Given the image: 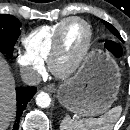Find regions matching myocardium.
<instances>
[{
  "label": "myocardium",
  "instance_id": "myocardium-1",
  "mask_svg": "<svg viewBox=\"0 0 130 130\" xmlns=\"http://www.w3.org/2000/svg\"><path fill=\"white\" fill-rule=\"evenodd\" d=\"M74 21L81 22L87 29V39L86 43L76 58V60L67 68H60L58 66V61L62 55L63 47H64V33L67 28V26ZM92 38H93V32L91 25L84 19L80 17H71L66 20V22L62 25V27L59 29V31L56 34L55 41L51 50V53L48 58V67L53 75H55L58 78H68L71 75H73L83 64L85 59L87 58V55L90 51L91 44H92Z\"/></svg>",
  "mask_w": 130,
  "mask_h": 130
}]
</instances>
